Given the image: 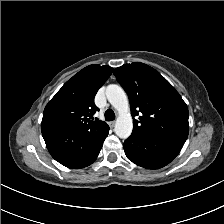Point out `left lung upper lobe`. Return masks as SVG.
<instances>
[{
	"label": "left lung upper lobe",
	"mask_w": 224,
	"mask_h": 224,
	"mask_svg": "<svg viewBox=\"0 0 224 224\" xmlns=\"http://www.w3.org/2000/svg\"><path fill=\"white\" fill-rule=\"evenodd\" d=\"M114 75L130 100L133 133L184 145L189 112L175 88L155 69L140 62L118 67ZM137 115L139 121L134 119Z\"/></svg>",
	"instance_id": "left-lung-upper-lobe-1"
}]
</instances>
